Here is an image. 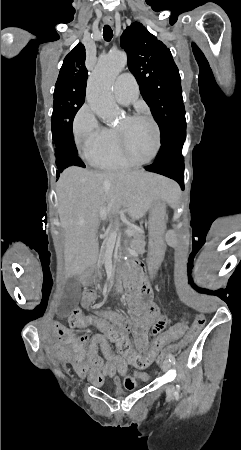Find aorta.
<instances>
[{
	"mask_svg": "<svg viewBox=\"0 0 241 450\" xmlns=\"http://www.w3.org/2000/svg\"><path fill=\"white\" fill-rule=\"evenodd\" d=\"M127 64L124 52H112L99 59L88 84L86 98L92 111L107 124L113 123L120 111L112 95V84Z\"/></svg>",
	"mask_w": 241,
	"mask_h": 450,
	"instance_id": "1",
	"label": "aorta"
}]
</instances>
